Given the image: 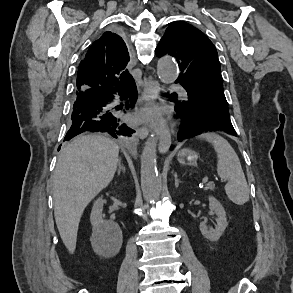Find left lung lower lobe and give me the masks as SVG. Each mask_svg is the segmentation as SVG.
I'll return each instance as SVG.
<instances>
[{
    "label": "left lung lower lobe",
    "instance_id": "left-lung-lower-lobe-1",
    "mask_svg": "<svg viewBox=\"0 0 293 293\" xmlns=\"http://www.w3.org/2000/svg\"><path fill=\"white\" fill-rule=\"evenodd\" d=\"M175 103L177 116L181 118L182 125L178 133V140L182 141L193 135L208 131H224L236 136L229 113L221 109L207 110L205 106L191 96L180 99L176 94L170 96Z\"/></svg>",
    "mask_w": 293,
    "mask_h": 293
}]
</instances>
